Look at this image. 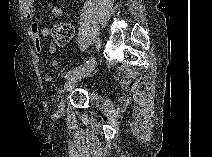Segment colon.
Segmentation results:
<instances>
[{
	"instance_id": "1",
	"label": "colon",
	"mask_w": 212,
	"mask_h": 157,
	"mask_svg": "<svg viewBox=\"0 0 212 157\" xmlns=\"http://www.w3.org/2000/svg\"><path fill=\"white\" fill-rule=\"evenodd\" d=\"M52 35L58 44H66L74 36V26L67 20L56 22L52 27Z\"/></svg>"
}]
</instances>
